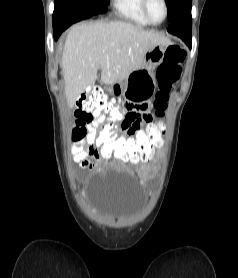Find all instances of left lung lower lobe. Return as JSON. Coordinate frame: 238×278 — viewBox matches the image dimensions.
Returning <instances> with one entry per match:
<instances>
[{
    "label": "left lung lower lobe",
    "mask_w": 238,
    "mask_h": 278,
    "mask_svg": "<svg viewBox=\"0 0 238 278\" xmlns=\"http://www.w3.org/2000/svg\"><path fill=\"white\" fill-rule=\"evenodd\" d=\"M191 4L186 5L169 23L168 32L180 37L189 47H191Z\"/></svg>",
    "instance_id": "0a47b994"
}]
</instances>
